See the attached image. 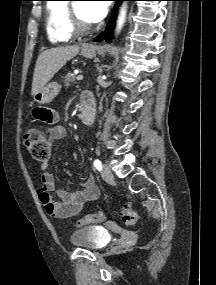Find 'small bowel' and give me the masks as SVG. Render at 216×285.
<instances>
[{
    "mask_svg": "<svg viewBox=\"0 0 216 285\" xmlns=\"http://www.w3.org/2000/svg\"><path fill=\"white\" fill-rule=\"evenodd\" d=\"M84 101L92 102V97L89 94L83 95ZM34 117L45 123H56L57 114L46 108H36L34 110ZM47 130V125H42L39 128V133H44ZM67 130L62 125H54L49 133L45 136V141L50 144L65 139ZM43 170L42 186L38 190V197L43 204L46 213L54 218H69L79 214L84 206L91 201L98 198L99 189L92 176H89L83 183L82 188L75 191L55 190L54 179L48 169V160L44 161L41 165ZM56 193L58 199H54L53 193Z\"/></svg>",
    "mask_w": 216,
    "mask_h": 285,
    "instance_id": "c3829d8e",
    "label": "small bowel"
}]
</instances>
